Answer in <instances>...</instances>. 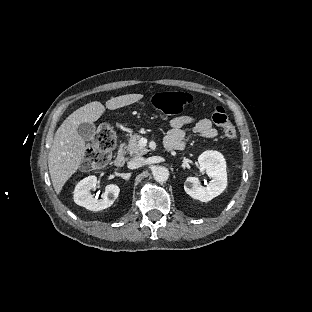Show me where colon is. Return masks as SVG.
Masks as SVG:
<instances>
[{
  "label": "colon",
  "instance_id": "obj_1",
  "mask_svg": "<svg viewBox=\"0 0 312 312\" xmlns=\"http://www.w3.org/2000/svg\"><path fill=\"white\" fill-rule=\"evenodd\" d=\"M190 103L191 97L188 93L161 92L157 95L155 106L160 112L173 115L175 113H180L183 108ZM207 117L221 127L227 139H236V130L232 126L224 109L217 107L208 112ZM94 140V150L86 152L82 161L83 166L90 169L101 168L107 165L117 141L114 129L108 123H102L97 127Z\"/></svg>",
  "mask_w": 312,
  "mask_h": 312
}]
</instances>
